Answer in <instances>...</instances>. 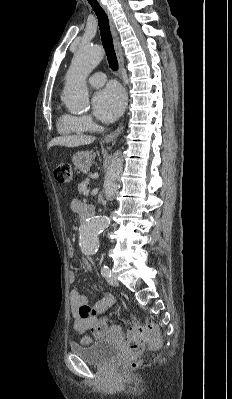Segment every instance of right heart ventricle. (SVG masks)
Here are the masks:
<instances>
[{
	"label": "right heart ventricle",
	"instance_id": "obj_1",
	"mask_svg": "<svg viewBox=\"0 0 232 399\" xmlns=\"http://www.w3.org/2000/svg\"><path fill=\"white\" fill-rule=\"evenodd\" d=\"M56 129L58 134L63 137L78 139L83 137L86 132L93 130L94 126L89 129L82 123L79 117L64 114L58 118Z\"/></svg>",
	"mask_w": 232,
	"mask_h": 399
}]
</instances>
